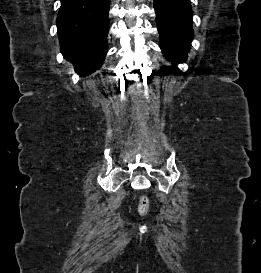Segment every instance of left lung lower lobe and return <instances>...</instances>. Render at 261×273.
I'll use <instances>...</instances> for the list:
<instances>
[{
	"label": "left lung lower lobe",
	"mask_w": 261,
	"mask_h": 273,
	"mask_svg": "<svg viewBox=\"0 0 261 273\" xmlns=\"http://www.w3.org/2000/svg\"><path fill=\"white\" fill-rule=\"evenodd\" d=\"M159 46L175 64L185 62L193 39L190 0H154Z\"/></svg>",
	"instance_id": "1"
}]
</instances>
